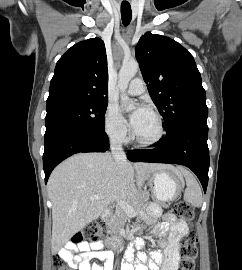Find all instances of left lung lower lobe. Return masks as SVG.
Here are the masks:
<instances>
[{"instance_id":"left-lung-lower-lobe-1","label":"left lung lower lobe","mask_w":242,"mask_h":270,"mask_svg":"<svg viewBox=\"0 0 242 270\" xmlns=\"http://www.w3.org/2000/svg\"><path fill=\"white\" fill-rule=\"evenodd\" d=\"M207 138L206 120L187 121L160 139L158 147L151 150H130L127 157L133 162L184 165L197 175L206 192L209 170Z\"/></svg>"}]
</instances>
